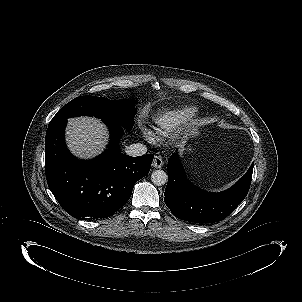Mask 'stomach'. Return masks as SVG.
<instances>
[{
    "mask_svg": "<svg viewBox=\"0 0 302 302\" xmlns=\"http://www.w3.org/2000/svg\"><path fill=\"white\" fill-rule=\"evenodd\" d=\"M199 134V128L197 126H191L189 129H188V136L190 138H193L195 136H197Z\"/></svg>",
    "mask_w": 302,
    "mask_h": 302,
    "instance_id": "0dacf381",
    "label": "stomach"
}]
</instances>
